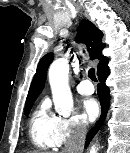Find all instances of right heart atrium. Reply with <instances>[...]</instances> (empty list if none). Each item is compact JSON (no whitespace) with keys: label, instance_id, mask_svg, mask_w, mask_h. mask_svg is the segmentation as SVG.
Returning a JSON list of instances; mask_svg holds the SVG:
<instances>
[{"label":"right heart atrium","instance_id":"obj_1","mask_svg":"<svg viewBox=\"0 0 130 153\" xmlns=\"http://www.w3.org/2000/svg\"><path fill=\"white\" fill-rule=\"evenodd\" d=\"M87 124L79 115L60 118L58 128V144L61 146L69 140L79 138L86 132Z\"/></svg>","mask_w":130,"mask_h":153}]
</instances>
